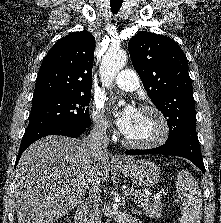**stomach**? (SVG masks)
<instances>
[{
  "instance_id": "obj_1",
  "label": "stomach",
  "mask_w": 221,
  "mask_h": 223,
  "mask_svg": "<svg viewBox=\"0 0 221 223\" xmlns=\"http://www.w3.org/2000/svg\"><path fill=\"white\" fill-rule=\"evenodd\" d=\"M129 180L139 186H153L160 180L159 168L149 160H137L116 165Z\"/></svg>"
}]
</instances>
